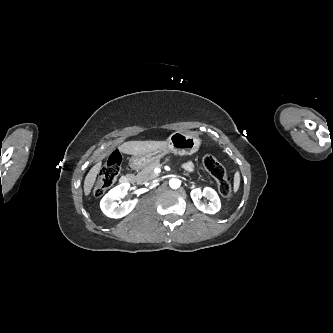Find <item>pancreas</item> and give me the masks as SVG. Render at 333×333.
Returning a JSON list of instances; mask_svg holds the SVG:
<instances>
[{
  "label": "pancreas",
  "instance_id": "obj_1",
  "mask_svg": "<svg viewBox=\"0 0 333 333\" xmlns=\"http://www.w3.org/2000/svg\"><path fill=\"white\" fill-rule=\"evenodd\" d=\"M169 158H166L165 161H169ZM162 164L160 163V160H156L153 161L151 163H149L148 165L144 166L140 172L137 173L136 175V180L138 183L142 184V183H146L149 182L153 179H155L156 177H158V174H156L154 172V169L156 167H161Z\"/></svg>",
  "mask_w": 333,
  "mask_h": 333
}]
</instances>
